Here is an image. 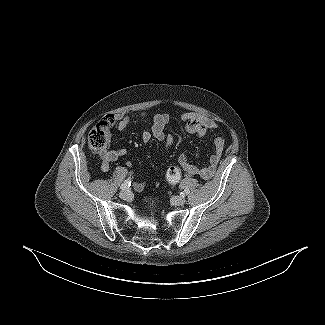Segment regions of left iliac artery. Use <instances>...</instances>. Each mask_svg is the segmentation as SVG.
Masks as SVG:
<instances>
[{"label":"left iliac artery","mask_w":325,"mask_h":325,"mask_svg":"<svg viewBox=\"0 0 325 325\" xmlns=\"http://www.w3.org/2000/svg\"><path fill=\"white\" fill-rule=\"evenodd\" d=\"M188 193H189V190H184V192L182 194L187 195Z\"/></svg>","instance_id":"44dca946"}]
</instances>
